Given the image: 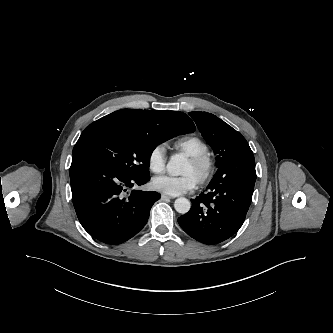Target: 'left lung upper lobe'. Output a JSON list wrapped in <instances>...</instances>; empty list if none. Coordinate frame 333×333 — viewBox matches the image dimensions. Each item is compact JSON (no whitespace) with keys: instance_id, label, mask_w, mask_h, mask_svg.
I'll return each mask as SVG.
<instances>
[{"instance_id":"obj_1","label":"left lung upper lobe","mask_w":333,"mask_h":333,"mask_svg":"<svg viewBox=\"0 0 333 333\" xmlns=\"http://www.w3.org/2000/svg\"><path fill=\"white\" fill-rule=\"evenodd\" d=\"M204 139L217 154V165L235 154L250 149L246 139L217 116L207 112H190Z\"/></svg>"}]
</instances>
